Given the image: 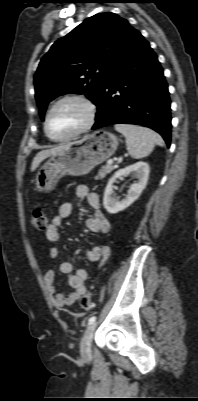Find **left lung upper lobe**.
<instances>
[{
  "instance_id": "5c2ea615",
  "label": "left lung upper lobe",
  "mask_w": 198,
  "mask_h": 401,
  "mask_svg": "<svg viewBox=\"0 0 198 401\" xmlns=\"http://www.w3.org/2000/svg\"><path fill=\"white\" fill-rule=\"evenodd\" d=\"M138 31L114 13L96 14L57 40L34 76L41 119L48 103L66 93H83L95 105L111 70Z\"/></svg>"
}]
</instances>
